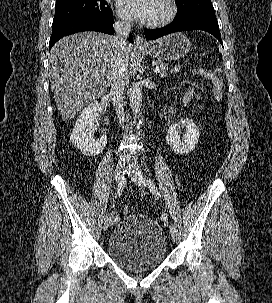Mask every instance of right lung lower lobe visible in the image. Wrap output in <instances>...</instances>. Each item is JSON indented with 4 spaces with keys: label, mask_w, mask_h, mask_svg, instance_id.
<instances>
[{
    "label": "right lung lower lobe",
    "mask_w": 272,
    "mask_h": 303,
    "mask_svg": "<svg viewBox=\"0 0 272 303\" xmlns=\"http://www.w3.org/2000/svg\"><path fill=\"white\" fill-rule=\"evenodd\" d=\"M113 23V15L108 17L84 15L53 24L49 49H51L60 38L76 32L98 31L107 34H114ZM130 42H133L132 35H130Z\"/></svg>",
    "instance_id": "1"
}]
</instances>
